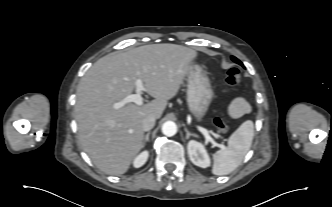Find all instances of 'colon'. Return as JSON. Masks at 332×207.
<instances>
[{"label": "colon", "mask_w": 332, "mask_h": 207, "mask_svg": "<svg viewBox=\"0 0 332 207\" xmlns=\"http://www.w3.org/2000/svg\"><path fill=\"white\" fill-rule=\"evenodd\" d=\"M239 81H240V72L238 71V69L232 68L227 71L226 76H225V82L228 85H230V86L237 85L239 83ZM214 123L220 132H222V133L227 132L228 126L222 118H219V117L215 118Z\"/></svg>", "instance_id": "colon-1"}]
</instances>
